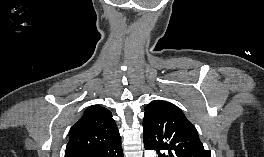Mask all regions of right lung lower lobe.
Instances as JSON below:
<instances>
[{"mask_svg":"<svg viewBox=\"0 0 264 157\" xmlns=\"http://www.w3.org/2000/svg\"><path fill=\"white\" fill-rule=\"evenodd\" d=\"M98 157H124L123 151L121 148V143L118 146H116L115 148H113L107 152L102 153Z\"/></svg>","mask_w":264,"mask_h":157,"instance_id":"1","label":"right lung lower lobe"}]
</instances>
